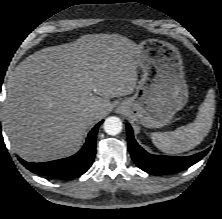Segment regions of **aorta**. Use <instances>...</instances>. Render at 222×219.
I'll use <instances>...</instances> for the list:
<instances>
[{
    "label": "aorta",
    "mask_w": 222,
    "mask_h": 219,
    "mask_svg": "<svg viewBox=\"0 0 222 219\" xmlns=\"http://www.w3.org/2000/svg\"><path fill=\"white\" fill-rule=\"evenodd\" d=\"M105 132L109 135H117L122 131V121L116 116L108 117L103 126Z\"/></svg>",
    "instance_id": "obj_1"
}]
</instances>
